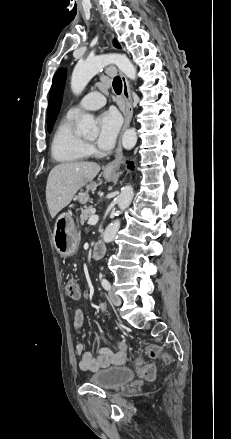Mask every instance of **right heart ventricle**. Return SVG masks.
I'll list each match as a JSON object with an SVG mask.
<instances>
[{
	"mask_svg": "<svg viewBox=\"0 0 231 439\" xmlns=\"http://www.w3.org/2000/svg\"><path fill=\"white\" fill-rule=\"evenodd\" d=\"M88 148L75 131V117L66 115L58 124L51 143V155L61 164H73L87 158Z\"/></svg>",
	"mask_w": 231,
	"mask_h": 439,
	"instance_id": "right-heart-ventricle-1",
	"label": "right heart ventricle"
}]
</instances>
